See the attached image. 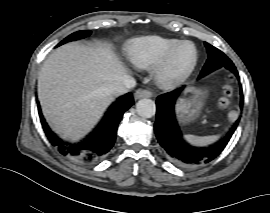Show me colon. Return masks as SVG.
Wrapping results in <instances>:
<instances>
[{"mask_svg":"<svg viewBox=\"0 0 270 213\" xmlns=\"http://www.w3.org/2000/svg\"><path fill=\"white\" fill-rule=\"evenodd\" d=\"M223 100L222 105L226 106L228 104V98L233 94V89L230 85H225L222 89Z\"/></svg>","mask_w":270,"mask_h":213,"instance_id":"5ec220e1","label":"colon"}]
</instances>
